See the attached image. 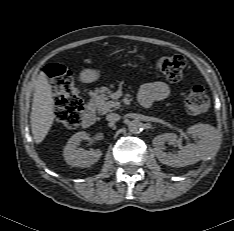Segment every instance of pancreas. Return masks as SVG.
Here are the masks:
<instances>
[{
    "label": "pancreas",
    "mask_w": 234,
    "mask_h": 231,
    "mask_svg": "<svg viewBox=\"0 0 234 231\" xmlns=\"http://www.w3.org/2000/svg\"><path fill=\"white\" fill-rule=\"evenodd\" d=\"M111 91L107 87L96 89L92 93L91 106L98 111L99 114H105L120 107V103L109 100Z\"/></svg>",
    "instance_id": "obj_1"
}]
</instances>
